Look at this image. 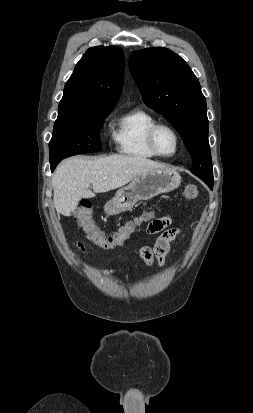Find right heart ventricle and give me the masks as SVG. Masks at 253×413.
<instances>
[{
	"instance_id": "1",
	"label": "right heart ventricle",
	"mask_w": 253,
	"mask_h": 413,
	"mask_svg": "<svg viewBox=\"0 0 253 413\" xmlns=\"http://www.w3.org/2000/svg\"><path fill=\"white\" fill-rule=\"evenodd\" d=\"M156 123L153 115L136 108L124 114L114 131L116 149L119 153L139 159L156 157L147 143L148 129Z\"/></svg>"
}]
</instances>
